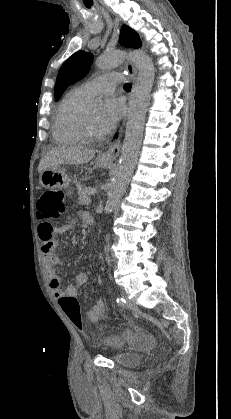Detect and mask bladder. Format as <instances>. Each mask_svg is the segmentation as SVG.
I'll return each instance as SVG.
<instances>
[{"mask_svg":"<svg viewBox=\"0 0 231 419\" xmlns=\"http://www.w3.org/2000/svg\"><path fill=\"white\" fill-rule=\"evenodd\" d=\"M111 359L119 366L132 367L141 363L142 356L133 352L117 351L111 355Z\"/></svg>","mask_w":231,"mask_h":419,"instance_id":"1","label":"bladder"}]
</instances>
